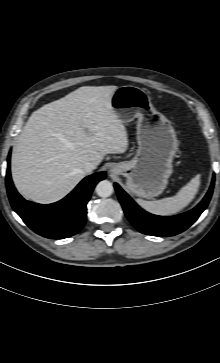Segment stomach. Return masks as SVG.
<instances>
[{"mask_svg": "<svg viewBox=\"0 0 220 363\" xmlns=\"http://www.w3.org/2000/svg\"><path fill=\"white\" fill-rule=\"evenodd\" d=\"M111 106L122 123L137 118L138 150L130 161L114 163L111 171L127 178V188L138 197L160 195L173 172L172 161L178 148L170 121L154 108L141 88L125 85L112 95Z\"/></svg>", "mask_w": 220, "mask_h": 363, "instance_id": "stomach-1", "label": "stomach"}]
</instances>
